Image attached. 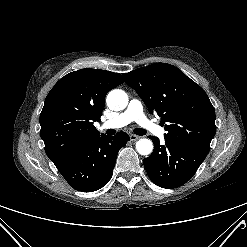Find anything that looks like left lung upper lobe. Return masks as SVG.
Here are the masks:
<instances>
[{
  "instance_id": "obj_1",
  "label": "left lung upper lobe",
  "mask_w": 247,
  "mask_h": 247,
  "mask_svg": "<svg viewBox=\"0 0 247 247\" xmlns=\"http://www.w3.org/2000/svg\"><path fill=\"white\" fill-rule=\"evenodd\" d=\"M151 113L165 124L166 141L208 154L216 133L215 110L205 91L177 67L156 63L122 74Z\"/></svg>"
}]
</instances>
